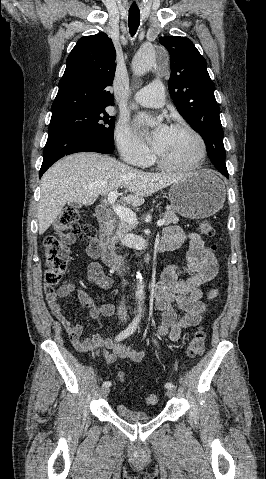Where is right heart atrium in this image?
Listing matches in <instances>:
<instances>
[{
	"label": "right heart atrium",
	"instance_id": "d8ad5b80",
	"mask_svg": "<svg viewBox=\"0 0 266 479\" xmlns=\"http://www.w3.org/2000/svg\"><path fill=\"white\" fill-rule=\"evenodd\" d=\"M115 141L121 157L128 163L136 166H145L151 160L148 148L133 134L125 122L117 124Z\"/></svg>",
	"mask_w": 266,
	"mask_h": 479
}]
</instances>
